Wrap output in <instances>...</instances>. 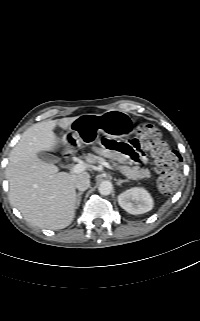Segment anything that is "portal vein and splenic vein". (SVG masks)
I'll return each mask as SVG.
<instances>
[{
    "instance_id": "obj_1",
    "label": "portal vein and splenic vein",
    "mask_w": 200,
    "mask_h": 321,
    "mask_svg": "<svg viewBox=\"0 0 200 321\" xmlns=\"http://www.w3.org/2000/svg\"><path fill=\"white\" fill-rule=\"evenodd\" d=\"M101 164L105 167H107L108 169H111V170H114V168L108 163V162H101ZM87 165H84V164H76L72 167L71 171L72 173H81L83 171H85L87 169Z\"/></svg>"
}]
</instances>
